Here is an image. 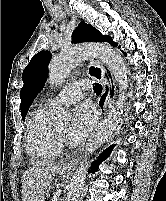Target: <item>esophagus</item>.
<instances>
[{
    "label": "esophagus",
    "instance_id": "esophagus-1",
    "mask_svg": "<svg viewBox=\"0 0 166 201\" xmlns=\"http://www.w3.org/2000/svg\"><path fill=\"white\" fill-rule=\"evenodd\" d=\"M73 14V13H70ZM88 66H95L99 67L101 70V76H94V79H96L98 82L102 85V93L98 98L97 106L99 108L101 119L106 116L108 109L113 103V96L112 91L115 89L114 81L109 77L106 68L103 66V64L99 60L90 59L88 61ZM78 163V159H72L68 162L70 165H75Z\"/></svg>",
    "mask_w": 166,
    "mask_h": 201
}]
</instances>
